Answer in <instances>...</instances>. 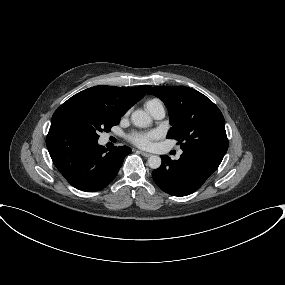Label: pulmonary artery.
Returning <instances> with one entry per match:
<instances>
[{"label": "pulmonary artery", "mask_w": 285, "mask_h": 285, "mask_svg": "<svg viewBox=\"0 0 285 285\" xmlns=\"http://www.w3.org/2000/svg\"><path fill=\"white\" fill-rule=\"evenodd\" d=\"M147 109L155 120H161L165 117V107L162 103L153 104Z\"/></svg>", "instance_id": "1"}]
</instances>
